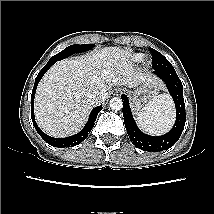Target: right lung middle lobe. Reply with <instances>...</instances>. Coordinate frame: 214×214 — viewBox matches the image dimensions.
Segmentation results:
<instances>
[{
	"instance_id": "1",
	"label": "right lung middle lobe",
	"mask_w": 214,
	"mask_h": 214,
	"mask_svg": "<svg viewBox=\"0 0 214 214\" xmlns=\"http://www.w3.org/2000/svg\"><path fill=\"white\" fill-rule=\"evenodd\" d=\"M92 47H95V45L94 44L71 45L64 49L63 51L59 52L58 54L54 55L49 61L57 62L64 58L69 57L72 54L86 52L92 49Z\"/></svg>"
}]
</instances>
